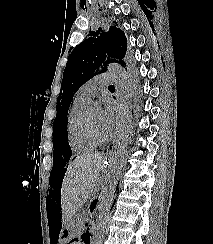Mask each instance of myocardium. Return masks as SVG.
Instances as JSON below:
<instances>
[{"instance_id": "1", "label": "myocardium", "mask_w": 213, "mask_h": 244, "mask_svg": "<svg viewBox=\"0 0 213 244\" xmlns=\"http://www.w3.org/2000/svg\"><path fill=\"white\" fill-rule=\"evenodd\" d=\"M86 126H87V130L90 134V136L97 142V143H107L111 140L112 134L108 133L106 136H101L100 134H98V132L95 130V128L93 127L89 115L88 113L86 114Z\"/></svg>"}]
</instances>
